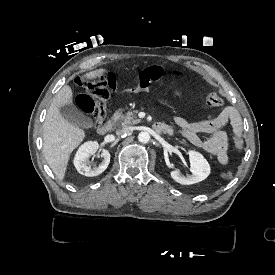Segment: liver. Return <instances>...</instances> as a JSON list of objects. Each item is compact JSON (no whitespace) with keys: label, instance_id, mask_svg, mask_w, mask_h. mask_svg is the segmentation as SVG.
Here are the masks:
<instances>
[{"label":"liver","instance_id":"obj_1","mask_svg":"<svg viewBox=\"0 0 275 275\" xmlns=\"http://www.w3.org/2000/svg\"><path fill=\"white\" fill-rule=\"evenodd\" d=\"M101 68L83 74L80 79L85 82L96 81L107 74ZM73 91L70 85H64L53 98L47 111L43 126V153L45 159L58 177L63 181L73 151L86 139L85 130L69 123L61 114L60 108L73 104Z\"/></svg>","mask_w":275,"mask_h":275}]
</instances>
